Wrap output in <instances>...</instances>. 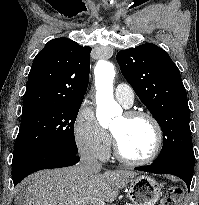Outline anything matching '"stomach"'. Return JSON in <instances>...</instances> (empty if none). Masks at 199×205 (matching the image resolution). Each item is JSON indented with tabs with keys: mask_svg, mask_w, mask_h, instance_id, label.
<instances>
[{
	"mask_svg": "<svg viewBox=\"0 0 199 205\" xmlns=\"http://www.w3.org/2000/svg\"><path fill=\"white\" fill-rule=\"evenodd\" d=\"M162 189L154 178L140 175L130 180L128 197L133 205H156L162 197Z\"/></svg>",
	"mask_w": 199,
	"mask_h": 205,
	"instance_id": "0dacf381",
	"label": "stomach"
}]
</instances>
